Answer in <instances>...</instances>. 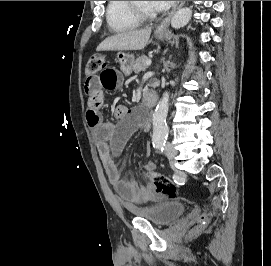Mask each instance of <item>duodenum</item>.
Returning a JSON list of instances; mask_svg holds the SVG:
<instances>
[{
  "label": "duodenum",
  "mask_w": 271,
  "mask_h": 266,
  "mask_svg": "<svg viewBox=\"0 0 271 266\" xmlns=\"http://www.w3.org/2000/svg\"><path fill=\"white\" fill-rule=\"evenodd\" d=\"M157 103V95L153 92L146 93L144 95V104L149 107L153 108Z\"/></svg>",
  "instance_id": "obj_1"
}]
</instances>
